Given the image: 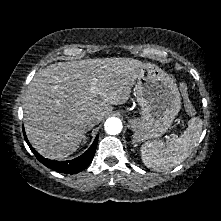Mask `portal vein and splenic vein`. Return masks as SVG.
<instances>
[{
	"instance_id": "obj_1",
	"label": "portal vein and splenic vein",
	"mask_w": 221,
	"mask_h": 221,
	"mask_svg": "<svg viewBox=\"0 0 221 221\" xmlns=\"http://www.w3.org/2000/svg\"><path fill=\"white\" fill-rule=\"evenodd\" d=\"M95 84H96V79H93L91 82V89H90L92 96H95L98 92L97 88L95 87Z\"/></svg>"
}]
</instances>
